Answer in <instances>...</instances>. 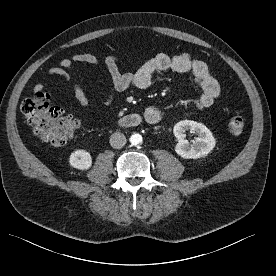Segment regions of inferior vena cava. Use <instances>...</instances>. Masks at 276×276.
<instances>
[{"label": "inferior vena cava", "instance_id": "inferior-vena-cava-1", "mask_svg": "<svg viewBox=\"0 0 276 276\" xmlns=\"http://www.w3.org/2000/svg\"><path fill=\"white\" fill-rule=\"evenodd\" d=\"M110 144L115 149H121L126 144V137L120 132H115L110 136Z\"/></svg>", "mask_w": 276, "mask_h": 276}]
</instances>
